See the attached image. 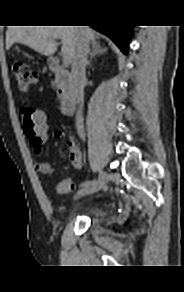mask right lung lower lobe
I'll list each match as a JSON object with an SVG mask.
<instances>
[{"label": "right lung lower lobe", "mask_w": 184, "mask_h": 292, "mask_svg": "<svg viewBox=\"0 0 184 292\" xmlns=\"http://www.w3.org/2000/svg\"><path fill=\"white\" fill-rule=\"evenodd\" d=\"M92 28L110 37L124 54L128 52L133 26L91 25Z\"/></svg>", "instance_id": "right-lung-lower-lobe-1"}]
</instances>
